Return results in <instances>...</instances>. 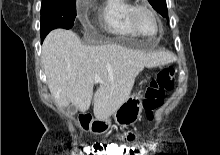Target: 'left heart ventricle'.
<instances>
[{
	"instance_id": "left-heart-ventricle-1",
	"label": "left heart ventricle",
	"mask_w": 220,
	"mask_h": 155,
	"mask_svg": "<svg viewBox=\"0 0 220 155\" xmlns=\"http://www.w3.org/2000/svg\"><path fill=\"white\" fill-rule=\"evenodd\" d=\"M136 22L140 31L146 36H154L157 32V23L147 11L138 12Z\"/></svg>"
}]
</instances>
